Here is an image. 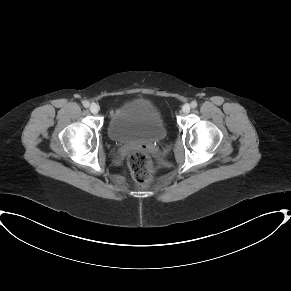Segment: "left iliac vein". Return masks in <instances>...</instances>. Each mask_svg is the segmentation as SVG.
Returning a JSON list of instances; mask_svg holds the SVG:
<instances>
[{
	"label": "left iliac vein",
	"instance_id": "1",
	"mask_svg": "<svg viewBox=\"0 0 291 291\" xmlns=\"http://www.w3.org/2000/svg\"><path fill=\"white\" fill-rule=\"evenodd\" d=\"M190 105L189 104H184L183 107H182V111L183 113L187 114L190 112Z\"/></svg>",
	"mask_w": 291,
	"mask_h": 291
}]
</instances>
